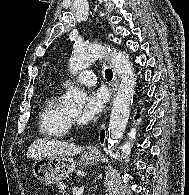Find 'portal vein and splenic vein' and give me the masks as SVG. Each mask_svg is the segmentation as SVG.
I'll use <instances>...</instances> for the list:
<instances>
[{"label": "portal vein and splenic vein", "mask_w": 189, "mask_h": 195, "mask_svg": "<svg viewBox=\"0 0 189 195\" xmlns=\"http://www.w3.org/2000/svg\"><path fill=\"white\" fill-rule=\"evenodd\" d=\"M83 191H84V187H82V188H80V189H78L76 191H73V194L74 195H82Z\"/></svg>", "instance_id": "1"}]
</instances>
